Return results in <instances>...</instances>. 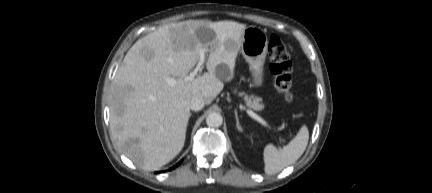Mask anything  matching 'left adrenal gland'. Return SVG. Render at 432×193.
Returning <instances> with one entry per match:
<instances>
[{
	"instance_id": "1",
	"label": "left adrenal gland",
	"mask_w": 432,
	"mask_h": 193,
	"mask_svg": "<svg viewBox=\"0 0 432 193\" xmlns=\"http://www.w3.org/2000/svg\"><path fill=\"white\" fill-rule=\"evenodd\" d=\"M235 119H236V127H237L238 131L242 132L243 129L240 126V123H239V118H238L237 110H235Z\"/></svg>"
}]
</instances>
